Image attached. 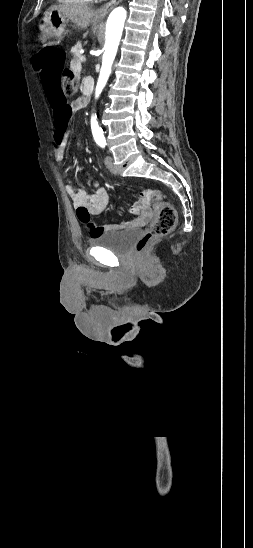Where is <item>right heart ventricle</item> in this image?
Here are the masks:
<instances>
[{
	"instance_id": "e07e8e85",
	"label": "right heart ventricle",
	"mask_w": 253,
	"mask_h": 548,
	"mask_svg": "<svg viewBox=\"0 0 253 548\" xmlns=\"http://www.w3.org/2000/svg\"><path fill=\"white\" fill-rule=\"evenodd\" d=\"M58 1L65 4H85V3L91 2L92 0H58Z\"/></svg>"
}]
</instances>
